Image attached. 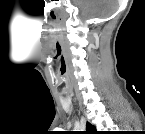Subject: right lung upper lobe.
<instances>
[{
  "label": "right lung upper lobe",
  "mask_w": 145,
  "mask_h": 134,
  "mask_svg": "<svg viewBox=\"0 0 145 134\" xmlns=\"http://www.w3.org/2000/svg\"><path fill=\"white\" fill-rule=\"evenodd\" d=\"M86 133L87 134H96L97 133L96 128L93 125H91L89 122H87V124H86Z\"/></svg>",
  "instance_id": "right-lung-upper-lobe-1"
}]
</instances>
